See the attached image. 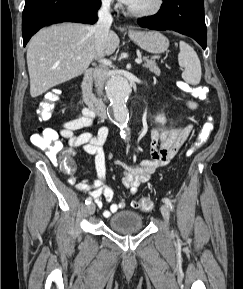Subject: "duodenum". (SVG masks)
Returning <instances> with one entry per match:
<instances>
[{
	"instance_id": "duodenum-1",
	"label": "duodenum",
	"mask_w": 243,
	"mask_h": 289,
	"mask_svg": "<svg viewBox=\"0 0 243 289\" xmlns=\"http://www.w3.org/2000/svg\"><path fill=\"white\" fill-rule=\"evenodd\" d=\"M95 71L93 69H88L84 72L82 78V96L83 100L88 106V108L97 116L101 118H106L108 116V111L105 103L96 97L92 89L93 77Z\"/></svg>"
}]
</instances>
